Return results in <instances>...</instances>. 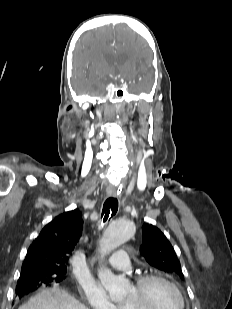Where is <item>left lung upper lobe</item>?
Returning a JSON list of instances; mask_svg holds the SVG:
<instances>
[{"mask_svg":"<svg viewBox=\"0 0 232 309\" xmlns=\"http://www.w3.org/2000/svg\"><path fill=\"white\" fill-rule=\"evenodd\" d=\"M143 243L140 249L146 261L153 267L184 279L181 264L174 248L157 227L144 224Z\"/></svg>","mask_w":232,"mask_h":309,"instance_id":"left-lung-upper-lobe-1","label":"left lung upper lobe"}]
</instances>
